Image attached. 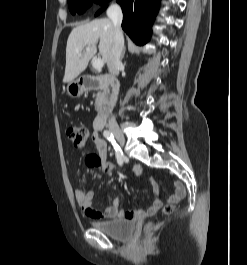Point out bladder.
<instances>
[{
    "label": "bladder",
    "mask_w": 247,
    "mask_h": 265,
    "mask_svg": "<svg viewBox=\"0 0 247 265\" xmlns=\"http://www.w3.org/2000/svg\"><path fill=\"white\" fill-rule=\"evenodd\" d=\"M93 228L114 239H125L134 230V224L129 219H116L109 221H92Z\"/></svg>",
    "instance_id": "1"
}]
</instances>
